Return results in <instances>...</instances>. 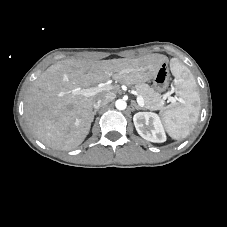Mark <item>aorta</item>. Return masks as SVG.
Returning <instances> with one entry per match:
<instances>
[{"label": "aorta", "mask_w": 227, "mask_h": 227, "mask_svg": "<svg viewBox=\"0 0 227 227\" xmlns=\"http://www.w3.org/2000/svg\"><path fill=\"white\" fill-rule=\"evenodd\" d=\"M115 106L118 110H125L126 107H127V103L126 101L122 100V99H118L116 102H115Z\"/></svg>", "instance_id": "obj_1"}]
</instances>
